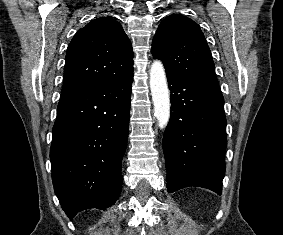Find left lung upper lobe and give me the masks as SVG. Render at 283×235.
Instances as JSON below:
<instances>
[{"mask_svg": "<svg viewBox=\"0 0 283 235\" xmlns=\"http://www.w3.org/2000/svg\"><path fill=\"white\" fill-rule=\"evenodd\" d=\"M152 55L163 62L166 74L218 86L206 39L199 25L185 16L173 14L160 23L152 42Z\"/></svg>", "mask_w": 283, "mask_h": 235, "instance_id": "left-lung-upper-lobe-1", "label": "left lung upper lobe"}]
</instances>
